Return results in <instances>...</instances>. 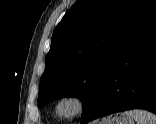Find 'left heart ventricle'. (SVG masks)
I'll use <instances>...</instances> for the list:
<instances>
[{
	"label": "left heart ventricle",
	"mask_w": 156,
	"mask_h": 124,
	"mask_svg": "<svg viewBox=\"0 0 156 124\" xmlns=\"http://www.w3.org/2000/svg\"><path fill=\"white\" fill-rule=\"evenodd\" d=\"M75 108L76 104L71 100H67L60 105L59 111L63 114H69L72 113L75 110Z\"/></svg>",
	"instance_id": "obj_1"
}]
</instances>
